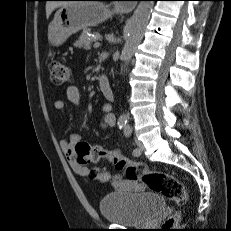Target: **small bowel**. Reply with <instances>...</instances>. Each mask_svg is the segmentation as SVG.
Masks as SVG:
<instances>
[{"label": "small bowel", "mask_w": 231, "mask_h": 231, "mask_svg": "<svg viewBox=\"0 0 231 231\" xmlns=\"http://www.w3.org/2000/svg\"><path fill=\"white\" fill-rule=\"evenodd\" d=\"M68 100L74 105H78L81 101V96L79 90L76 86H69L66 90ZM55 109L62 115L66 113V103L63 100H56L54 103ZM103 117L101 121V126L103 128H112L116 124V117L111 112V105L109 103L104 104L103 108ZM81 139L78 133H73L69 139H63L60 141V147L62 152L65 154L69 160L72 168L81 176H87L89 169L86 166L80 165L74 154L75 145ZM117 185L122 190L140 192L145 189L144 185L137 181H128V180H118Z\"/></svg>", "instance_id": "obj_1"}]
</instances>
